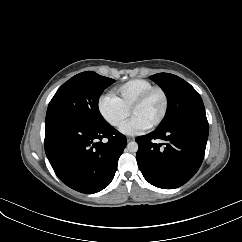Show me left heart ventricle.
<instances>
[{
    "mask_svg": "<svg viewBox=\"0 0 242 242\" xmlns=\"http://www.w3.org/2000/svg\"><path fill=\"white\" fill-rule=\"evenodd\" d=\"M163 108V98L159 93H154L143 105L133 112V117L151 126L159 118Z\"/></svg>",
    "mask_w": 242,
    "mask_h": 242,
    "instance_id": "1",
    "label": "left heart ventricle"
}]
</instances>
